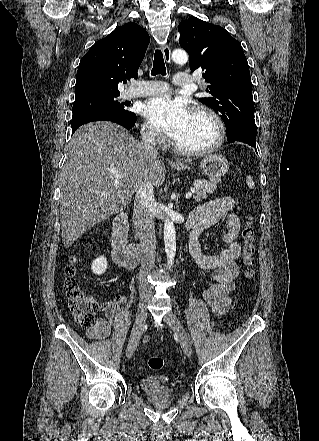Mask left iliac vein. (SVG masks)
I'll use <instances>...</instances> for the list:
<instances>
[{"mask_svg": "<svg viewBox=\"0 0 319 441\" xmlns=\"http://www.w3.org/2000/svg\"><path fill=\"white\" fill-rule=\"evenodd\" d=\"M164 322H166L177 334L181 347L184 351V353L190 357L192 354V347L191 342L189 340L188 334L185 331L181 321L178 319V317L173 312H168L164 318Z\"/></svg>", "mask_w": 319, "mask_h": 441, "instance_id": "1", "label": "left iliac vein"}]
</instances>
